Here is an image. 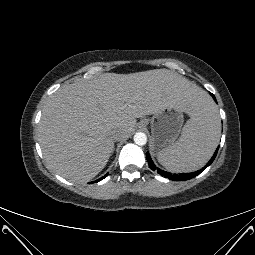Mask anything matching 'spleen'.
<instances>
[{"label":"spleen","instance_id":"obj_1","mask_svg":"<svg viewBox=\"0 0 255 255\" xmlns=\"http://www.w3.org/2000/svg\"><path fill=\"white\" fill-rule=\"evenodd\" d=\"M220 137V117L208 96L200 103L184 125L180 138L162 149L157 159L172 172H192L206 164Z\"/></svg>","mask_w":255,"mask_h":255}]
</instances>
